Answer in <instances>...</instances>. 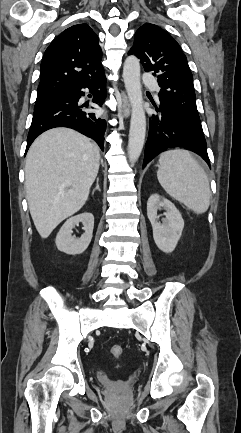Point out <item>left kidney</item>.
Instances as JSON below:
<instances>
[{
    "label": "left kidney",
    "instance_id": "obj_1",
    "mask_svg": "<svg viewBox=\"0 0 241 433\" xmlns=\"http://www.w3.org/2000/svg\"><path fill=\"white\" fill-rule=\"evenodd\" d=\"M166 210L163 223L158 222L157 210ZM147 217L153 228V238L157 247L171 253L177 246L184 228V220L175 205L166 198L153 194L147 202Z\"/></svg>",
    "mask_w": 241,
    "mask_h": 433
}]
</instances>
